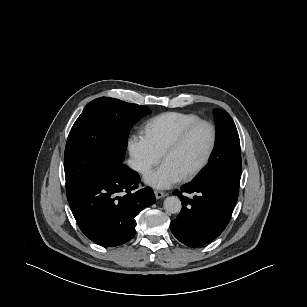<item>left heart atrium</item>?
<instances>
[{
    "label": "left heart atrium",
    "mask_w": 307,
    "mask_h": 307,
    "mask_svg": "<svg viewBox=\"0 0 307 307\" xmlns=\"http://www.w3.org/2000/svg\"><path fill=\"white\" fill-rule=\"evenodd\" d=\"M183 175L170 163L164 162L157 169L147 173L144 180L155 188H168L182 179Z\"/></svg>",
    "instance_id": "left-heart-atrium-1"
}]
</instances>
